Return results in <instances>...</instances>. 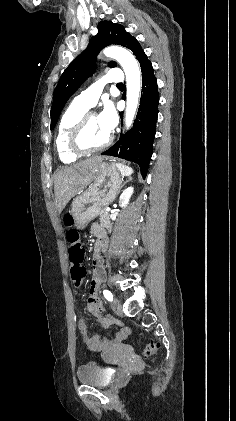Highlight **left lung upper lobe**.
I'll return each mask as SVG.
<instances>
[{"label":"left lung upper lobe","instance_id":"5c2ea615","mask_svg":"<svg viewBox=\"0 0 236 421\" xmlns=\"http://www.w3.org/2000/svg\"><path fill=\"white\" fill-rule=\"evenodd\" d=\"M122 45L132 51L139 46L138 41L132 37L124 27L111 21H101L98 24V33L91 38L89 45L63 72L54 91V99L51 107V127L53 130L61 110L70 96L81 86L95 69L96 55L108 45ZM109 67H116L113 61Z\"/></svg>","mask_w":236,"mask_h":421}]
</instances>
